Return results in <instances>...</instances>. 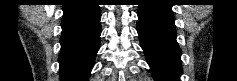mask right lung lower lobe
Returning a JSON list of instances; mask_svg holds the SVG:
<instances>
[{"label":"right lung lower lobe","mask_w":237,"mask_h":81,"mask_svg":"<svg viewBox=\"0 0 237 81\" xmlns=\"http://www.w3.org/2000/svg\"><path fill=\"white\" fill-rule=\"evenodd\" d=\"M61 81H86L94 65L101 34L100 8L97 4L72 0L63 5Z\"/></svg>","instance_id":"1"}]
</instances>
